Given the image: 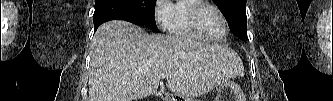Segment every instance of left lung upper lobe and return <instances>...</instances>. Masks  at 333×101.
I'll return each mask as SVG.
<instances>
[{
	"label": "left lung upper lobe",
	"mask_w": 333,
	"mask_h": 101,
	"mask_svg": "<svg viewBox=\"0 0 333 101\" xmlns=\"http://www.w3.org/2000/svg\"><path fill=\"white\" fill-rule=\"evenodd\" d=\"M225 16L234 35L244 40L247 37L246 0H213Z\"/></svg>",
	"instance_id": "obj_1"
}]
</instances>
